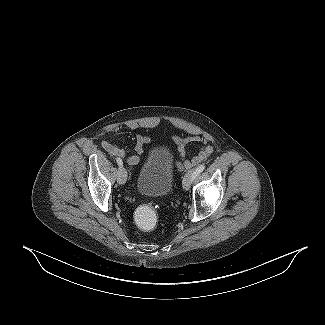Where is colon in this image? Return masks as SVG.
<instances>
[{"label": "colon", "mask_w": 325, "mask_h": 325, "mask_svg": "<svg viewBox=\"0 0 325 325\" xmlns=\"http://www.w3.org/2000/svg\"><path fill=\"white\" fill-rule=\"evenodd\" d=\"M134 219L142 230L150 231L157 226L159 216L151 204H145L136 210Z\"/></svg>", "instance_id": "5ec220e1"}]
</instances>
